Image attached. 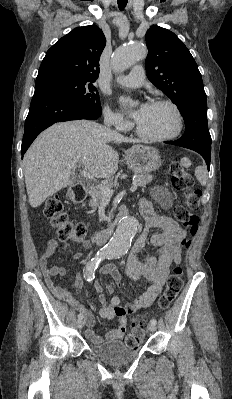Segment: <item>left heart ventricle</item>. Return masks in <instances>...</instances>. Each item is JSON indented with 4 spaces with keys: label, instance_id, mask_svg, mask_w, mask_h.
Masks as SVG:
<instances>
[{
    "label": "left heart ventricle",
    "instance_id": "1",
    "mask_svg": "<svg viewBox=\"0 0 232 399\" xmlns=\"http://www.w3.org/2000/svg\"><path fill=\"white\" fill-rule=\"evenodd\" d=\"M136 124L144 134L161 137L175 130L176 115L168 105H148Z\"/></svg>",
    "mask_w": 232,
    "mask_h": 399
}]
</instances>
